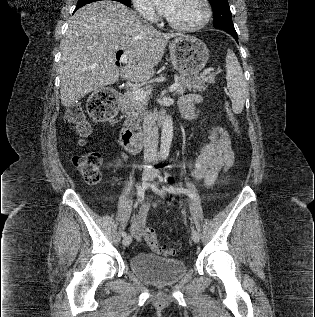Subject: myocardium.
<instances>
[{"instance_id": "obj_1", "label": "myocardium", "mask_w": 315, "mask_h": 317, "mask_svg": "<svg viewBox=\"0 0 315 317\" xmlns=\"http://www.w3.org/2000/svg\"><path fill=\"white\" fill-rule=\"evenodd\" d=\"M201 2L204 6L205 13H204V17L202 18V20L200 22L195 23V24H191V25H182V24H178V23L174 22L167 15H166V22L172 28H174L176 30H180V31H196V30L202 29L203 27H205L208 24V22L211 19L212 8H211L209 0H201Z\"/></svg>"}]
</instances>
